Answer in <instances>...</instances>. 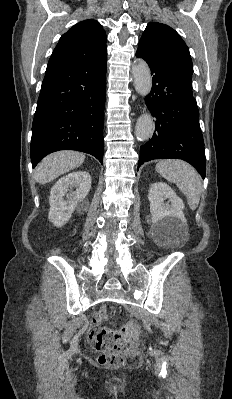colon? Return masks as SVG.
<instances>
[{"label":"colon","instance_id":"1","mask_svg":"<svg viewBox=\"0 0 232 399\" xmlns=\"http://www.w3.org/2000/svg\"><path fill=\"white\" fill-rule=\"evenodd\" d=\"M142 326L141 321L131 317L127 326H98L92 330L96 352L101 353V365L111 368L112 365H126V358H119L114 353H133L136 336Z\"/></svg>","mask_w":232,"mask_h":399}]
</instances>
